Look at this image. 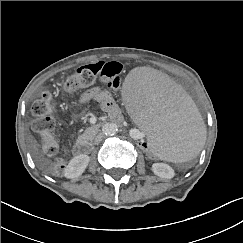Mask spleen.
<instances>
[{"instance_id":"3e777b00","label":"spleen","mask_w":243,"mask_h":243,"mask_svg":"<svg viewBox=\"0 0 243 243\" xmlns=\"http://www.w3.org/2000/svg\"><path fill=\"white\" fill-rule=\"evenodd\" d=\"M121 92L136 124L164 159L185 163L201 151L204 122L172 80L150 69H137L126 76Z\"/></svg>"}]
</instances>
